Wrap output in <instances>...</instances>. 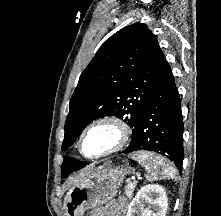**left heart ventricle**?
Here are the masks:
<instances>
[{"instance_id":"left-heart-ventricle-1","label":"left heart ventricle","mask_w":221,"mask_h":216,"mask_svg":"<svg viewBox=\"0 0 221 216\" xmlns=\"http://www.w3.org/2000/svg\"><path fill=\"white\" fill-rule=\"evenodd\" d=\"M115 130L107 125H100L89 131L83 140V152L86 155L98 154L111 147L116 139Z\"/></svg>"}]
</instances>
